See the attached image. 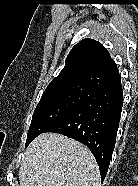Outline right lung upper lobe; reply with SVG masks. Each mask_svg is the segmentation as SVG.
I'll list each match as a JSON object with an SVG mask.
<instances>
[{"label":"right lung upper lobe","instance_id":"cb5924a9","mask_svg":"<svg viewBox=\"0 0 138 186\" xmlns=\"http://www.w3.org/2000/svg\"><path fill=\"white\" fill-rule=\"evenodd\" d=\"M120 85L119 71L107 49L99 42L87 38L72 48L65 67L45 91L68 86L98 90Z\"/></svg>","mask_w":138,"mask_h":186}]
</instances>
